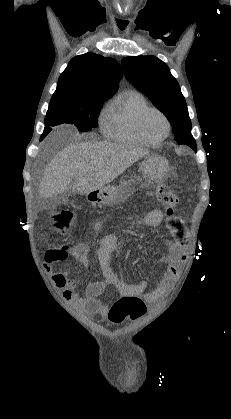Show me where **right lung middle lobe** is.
<instances>
[{"instance_id":"right-lung-middle-lobe-1","label":"right lung middle lobe","mask_w":231,"mask_h":419,"mask_svg":"<svg viewBox=\"0 0 231 419\" xmlns=\"http://www.w3.org/2000/svg\"><path fill=\"white\" fill-rule=\"evenodd\" d=\"M107 98H76L65 93H54L45 117L42 140L53 126L70 123L79 131H89L98 126V116Z\"/></svg>"}]
</instances>
